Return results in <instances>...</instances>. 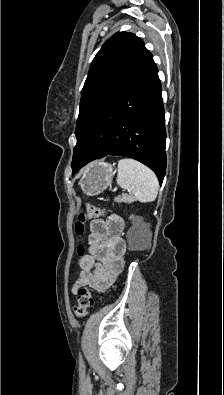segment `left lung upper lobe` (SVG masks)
Segmentation results:
<instances>
[{
  "mask_svg": "<svg viewBox=\"0 0 224 395\" xmlns=\"http://www.w3.org/2000/svg\"><path fill=\"white\" fill-rule=\"evenodd\" d=\"M151 56L139 37L125 31L114 34L96 54L82 89L72 170L84 157L103 110Z\"/></svg>",
  "mask_w": 224,
  "mask_h": 395,
  "instance_id": "left-lung-upper-lobe-1",
  "label": "left lung upper lobe"
}]
</instances>
